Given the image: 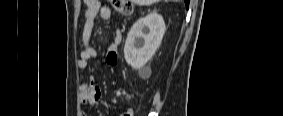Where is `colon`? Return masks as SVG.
I'll list each match as a JSON object with an SVG mask.
<instances>
[{"label": "colon", "mask_w": 283, "mask_h": 116, "mask_svg": "<svg viewBox=\"0 0 283 116\" xmlns=\"http://www.w3.org/2000/svg\"><path fill=\"white\" fill-rule=\"evenodd\" d=\"M111 5L116 13L130 15L133 12L132 2L129 0H112Z\"/></svg>", "instance_id": "colon-1"}]
</instances>
